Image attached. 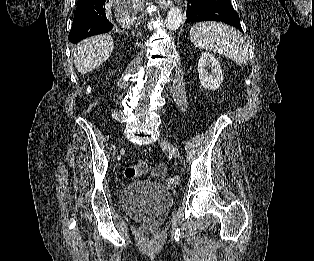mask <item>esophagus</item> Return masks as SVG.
<instances>
[{
	"label": "esophagus",
	"instance_id": "esophagus-1",
	"mask_svg": "<svg viewBox=\"0 0 314 261\" xmlns=\"http://www.w3.org/2000/svg\"><path fill=\"white\" fill-rule=\"evenodd\" d=\"M161 3L162 7H169L170 5H172V0H159ZM178 3H180V0H176Z\"/></svg>",
	"mask_w": 314,
	"mask_h": 261
}]
</instances>
